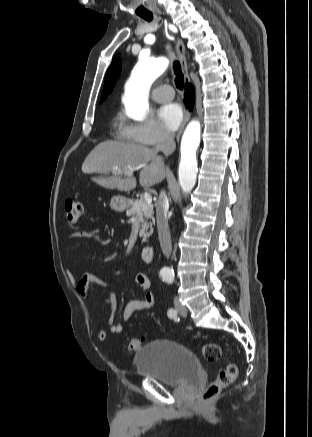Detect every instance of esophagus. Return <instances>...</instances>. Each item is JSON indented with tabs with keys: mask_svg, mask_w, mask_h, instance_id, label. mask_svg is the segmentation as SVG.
<instances>
[{
	"mask_svg": "<svg viewBox=\"0 0 312 437\" xmlns=\"http://www.w3.org/2000/svg\"><path fill=\"white\" fill-rule=\"evenodd\" d=\"M176 50H177V54H178V57L180 60L182 72L184 74V82H185V84H188V83H190V77L188 74V66H187L186 55H185V47H184L183 42L180 39H178L176 42ZM189 118H190V112L188 109H185L183 121L180 125L179 131H178V134L176 137L177 141H179V139L182 135V132L184 130V127L187 124Z\"/></svg>",
	"mask_w": 312,
	"mask_h": 437,
	"instance_id": "esophagus-1",
	"label": "esophagus"
}]
</instances>
